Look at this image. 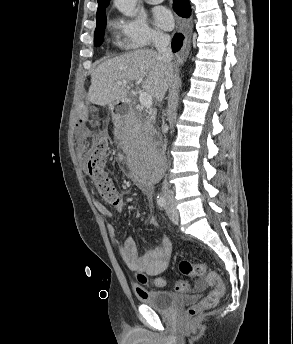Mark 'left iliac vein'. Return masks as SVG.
I'll return each mask as SVG.
<instances>
[{"label":"left iliac vein","instance_id":"obj_1","mask_svg":"<svg viewBox=\"0 0 293 344\" xmlns=\"http://www.w3.org/2000/svg\"><path fill=\"white\" fill-rule=\"evenodd\" d=\"M166 210H167V214H168L170 220L173 223L177 224L179 216H178V212H177L176 208L174 207V205L172 203H168Z\"/></svg>","mask_w":293,"mask_h":344}]
</instances>
